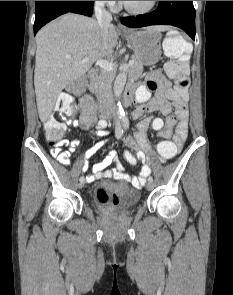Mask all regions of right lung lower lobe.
I'll return each mask as SVG.
<instances>
[{
  "label": "right lung lower lobe",
  "instance_id": "obj_1",
  "mask_svg": "<svg viewBox=\"0 0 233 295\" xmlns=\"http://www.w3.org/2000/svg\"><path fill=\"white\" fill-rule=\"evenodd\" d=\"M93 4L94 1H36L34 35L43 25L64 13L91 16Z\"/></svg>",
  "mask_w": 233,
  "mask_h": 295
}]
</instances>
